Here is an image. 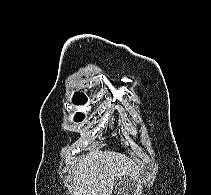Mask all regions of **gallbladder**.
Listing matches in <instances>:
<instances>
[{
    "label": "gallbladder",
    "mask_w": 211,
    "mask_h": 195,
    "mask_svg": "<svg viewBox=\"0 0 211 195\" xmlns=\"http://www.w3.org/2000/svg\"><path fill=\"white\" fill-rule=\"evenodd\" d=\"M116 190H117V191H121V192H126V190H124L123 187H118ZM131 195H132V194H131Z\"/></svg>",
    "instance_id": "obj_1"
}]
</instances>
